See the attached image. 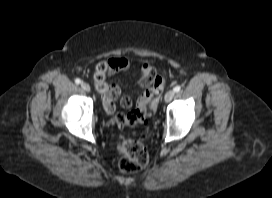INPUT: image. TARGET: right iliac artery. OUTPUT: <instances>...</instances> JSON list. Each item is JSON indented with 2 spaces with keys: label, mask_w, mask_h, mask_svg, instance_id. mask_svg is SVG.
<instances>
[{
  "label": "right iliac artery",
  "mask_w": 272,
  "mask_h": 198,
  "mask_svg": "<svg viewBox=\"0 0 272 198\" xmlns=\"http://www.w3.org/2000/svg\"><path fill=\"white\" fill-rule=\"evenodd\" d=\"M75 83H76V84H80V83H81V80H80L79 78H76V79H75Z\"/></svg>",
  "instance_id": "82829eb1"
}]
</instances>
